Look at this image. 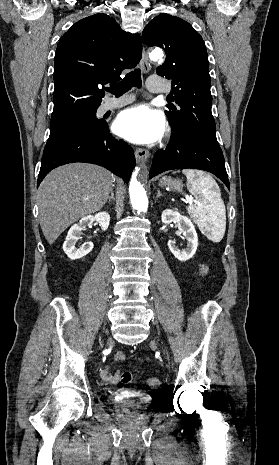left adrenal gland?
I'll list each match as a JSON object with an SVG mask.
<instances>
[{
    "mask_svg": "<svg viewBox=\"0 0 279 465\" xmlns=\"http://www.w3.org/2000/svg\"><path fill=\"white\" fill-rule=\"evenodd\" d=\"M161 196H163V195L161 194L160 190H157V197H156V199L160 198Z\"/></svg>",
    "mask_w": 279,
    "mask_h": 465,
    "instance_id": "a2214340",
    "label": "left adrenal gland"
}]
</instances>
